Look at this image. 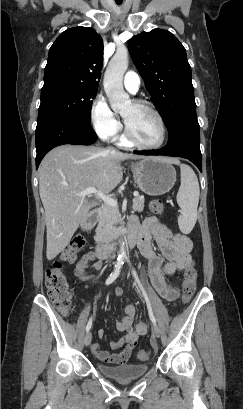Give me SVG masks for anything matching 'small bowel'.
<instances>
[{
	"label": "small bowel",
	"instance_id": "obj_1",
	"mask_svg": "<svg viewBox=\"0 0 243 409\" xmlns=\"http://www.w3.org/2000/svg\"><path fill=\"white\" fill-rule=\"evenodd\" d=\"M129 227L140 234L138 246L143 257L148 260L149 274L154 288L167 301L177 299L179 289L167 285L165 275H173L190 264L193 248L192 241L182 233L170 232L156 216L145 219L141 225H139L135 217L131 218ZM152 238L155 239L159 251L167 261H164L162 255L155 251ZM102 267L103 264L98 260L96 253L90 251L85 253L77 262L73 273L79 282H97L99 277H87L86 274L90 270H100ZM114 294L121 296L123 294L122 288H115ZM134 314L135 308L132 305H128L124 308L123 315L116 323L117 328L124 334L120 338L111 341L110 347L112 349L124 347L122 351L119 353H109L101 350L97 343L92 345V353L99 361L104 363H124L131 357L139 337L147 331L146 325L142 321H138L133 328ZM103 334L102 331L99 332L100 337Z\"/></svg>",
	"mask_w": 243,
	"mask_h": 409
}]
</instances>
